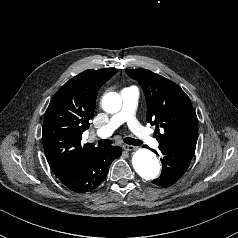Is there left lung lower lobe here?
I'll use <instances>...</instances> for the list:
<instances>
[{
  "label": "left lung lower lobe",
  "mask_w": 238,
  "mask_h": 238,
  "mask_svg": "<svg viewBox=\"0 0 238 238\" xmlns=\"http://www.w3.org/2000/svg\"><path fill=\"white\" fill-rule=\"evenodd\" d=\"M159 149L162 153V172L160 177L153 180V183L158 186L169 187L183 176L194 154L167 147H159Z\"/></svg>",
  "instance_id": "obj_1"
}]
</instances>
